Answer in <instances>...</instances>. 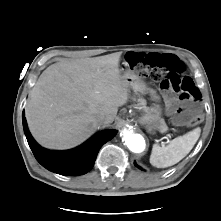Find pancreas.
I'll return each instance as SVG.
<instances>
[{"instance_id": "obj_1", "label": "pancreas", "mask_w": 221, "mask_h": 221, "mask_svg": "<svg viewBox=\"0 0 221 221\" xmlns=\"http://www.w3.org/2000/svg\"><path fill=\"white\" fill-rule=\"evenodd\" d=\"M138 104H137V107L139 108H142L143 110H145V111H147L148 110V108L146 107V101L144 100V99H139L138 100ZM162 126L165 128V130H166V124H165V122L162 120Z\"/></svg>"}]
</instances>
